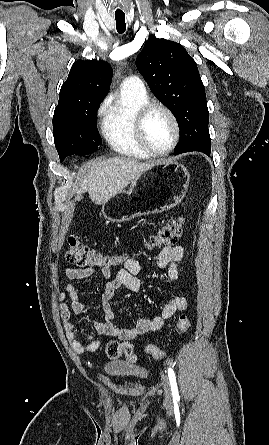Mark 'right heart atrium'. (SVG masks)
I'll return each mask as SVG.
<instances>
[{
	"instance_id": "1",
	"label": "right heart atrium",
	"mask_w": 269,
	"mask_h": 445,
	"mask_svg": "<svg viewBox=\"0 0 269 445\" xmlns=\"http://www.w3.org/2000/svg\"><path fill=\"white\" fill-rule=\"evenodd\" d=\"M106 109H107V100H104L98 107L97 114L101 115V114L105 113Z\"/></svg>"
}]
</instances>
